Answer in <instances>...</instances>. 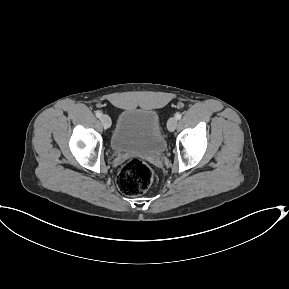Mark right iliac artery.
Wrapping results in <instances>:
<instances>
[{
    "instance_id": "1",
    "label": "right iliac artery",
    "mask_w": 289,
    "mask_h": 289,
    "mask_svg": "<svg viewBox=\"0 0 289 289\" xmlns=\"http://www.w3.org/2000/svg\"><path fill=\"white\" fill-rule=\"evenodd\" d=\"M96 117H98V118H101V116H102V113L100 112V111H96Z\"/></svg>"
}]
</instances>
